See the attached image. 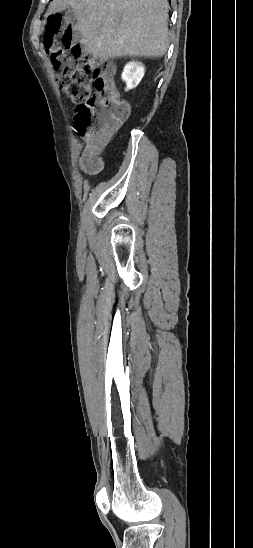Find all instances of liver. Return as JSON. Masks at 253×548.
<instances>
[{
	"instance_id": "liver-1",
	"label": "liver",
	"mask_w": 253,
	"mask_h": 548,
	"mask_svg": "<svg viewBox=\"0 0 253 548\" xmlns=\"http://www.w3.org/2000/svg\"><path fill=\"white\" fill-rule=\"evenodd\" d=\"M72 8L74 30L95 58L161 57L168 48L167 0H52L47 15Z\"/></svg>"
}]
</instances>
